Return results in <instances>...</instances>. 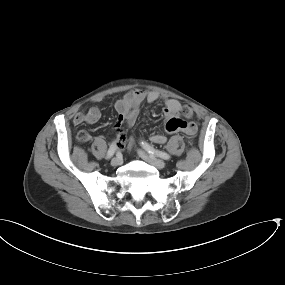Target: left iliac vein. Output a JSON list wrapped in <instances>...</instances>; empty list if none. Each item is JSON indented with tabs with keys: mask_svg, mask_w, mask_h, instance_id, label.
<instances>
[{
	"mask_svg": "<svg viewBox=\"0 0 285 285\" xmlns=\"http://www.w3.org/2000/svg\"><path fill=\"white\" fill-rule=\"evenodd\" d=\"M139 155L142 159H144L146 162L149 164L155 166L158 169H163L165 168L166 164L163 160L155 157L154 155H149L144 151H139Z\"/></svg>",
	"mask_w": 285,
	"mask_h": 285,
	"instance_id": "1",
	"label": "left iliac vein"
}]
</instances>
